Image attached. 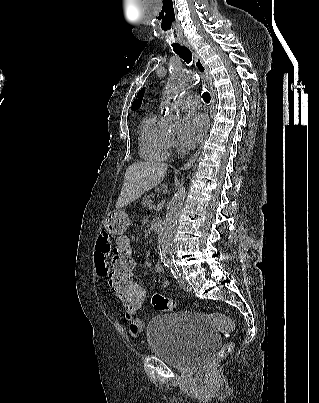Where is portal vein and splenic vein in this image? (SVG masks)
Returning a JSON list of instances; mask_svg holds the SVG:
<instances>
[{
	"mask_svg": "<svg viewBox=\"0 0 319 403\" xmlns=\"http://www.w3.org/2000/svg\"><path fill=\"white\" fill-rule=\"evenodd\" d=\"M155 207H156V205H155V204H152V205L150 206V209H155Z\"/></svg>",
	"mask_w": 319,
	"mask_h": 403,
	"instance_id": "obj_1",
	"label": "portal vein and splenic vein"
}]
</instances>
